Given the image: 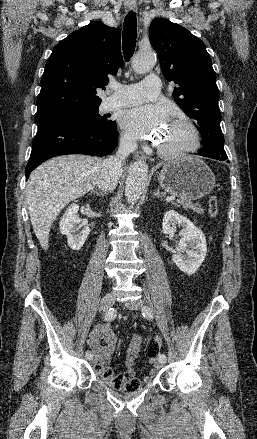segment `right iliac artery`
Instances as JSON below:
<instances>
[{"label":"right iliac artery","instance_id":"82829eb1","mask_svg":"<svg viewBox=\"0 0 257 439\" xmlns=\"http://www.w3.org/2000/svg\"><path fill=\"white\" fill-rule=\"evenodd\" d=\"M116 317V311L113 308H110L104 316V320L105 321H111ZM85 356L87 359H92L93 358V354L91 351H86Z\"/></svg>","mask_w":257,"mask_h":439}]
</instances>
